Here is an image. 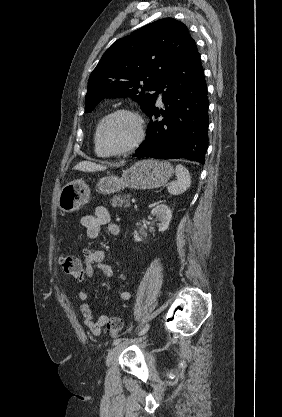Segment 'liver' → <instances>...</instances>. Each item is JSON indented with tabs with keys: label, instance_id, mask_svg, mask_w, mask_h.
<instances>
[{
	"label": "liver",
	"instance_id": "liver-1",
	"mask_svg": "<svg viewBox=\"0 0 282 417\" xmlns=\"http://www.w3.org/2000/svg\"><path fill=\"white\" fill-rule=\"evenodd\" d=\"M75 170H84V172H96V170H106L105 164H96V162H90V160H81L74 166Z\"/></svg>",
	"mask_w": 282,
	"mask_h": 417
}]
</instances>
